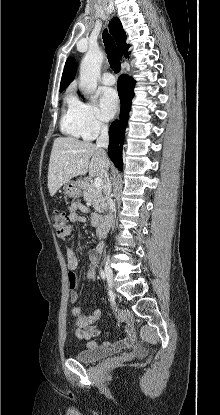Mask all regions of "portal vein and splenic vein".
Masks as SVG:
<instances>
[{"instance_id": "1", "label": "portal vein and splenic vein", "mask_w": 220, "mask_h": 415, "mask_svg": "<svg viewBox=\"0 0 220 415\" xmlns=\"http://www.w3.org/2000/svg\"><path fill=\"white\" fill-rule=\"evenodd\" d=\"M94 186L99 189L103 186V179L102 177H96L94 180Z\"/></svg>"}]
</instances>
